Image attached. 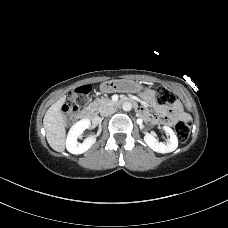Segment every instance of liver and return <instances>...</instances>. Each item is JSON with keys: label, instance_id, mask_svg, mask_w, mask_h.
Returning a JSON list of instances; mask_svg holds the SVG:
<instances>
[{"label": "liver", "instance_id": "liver-1", "mask_svg": "<svg viewBox=\"0 0 228 228\" xmlns=\"http://www.w3.org/2000/svg\"><path fill=\"white\" fill-rule=\"evenodd\" d=\"M66 100V96L55 102L45 113L43 125L46 131V138L51 146L57 152L65 150L66 129L61 107Z\"/></svg>", "mask_w": 228, "mask_h": 228}]
</instances>
